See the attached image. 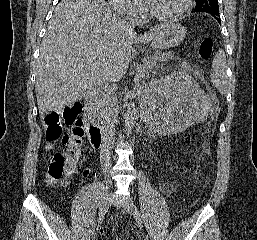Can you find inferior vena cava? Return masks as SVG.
<instances>
[{
  "mask_svg": "<svg viewBox=\"0 0 257 240\" xmlns=\"http://www.w3.org/2000/svg\"><path fill=\"white\" fill-rule=\"evenodd\" d=\"M134 23L123 20V29L126 31H133L134 30ZM106 96L108 98L107 100V107L105 111V122L103 130L106 134V136L109 138V144L114 143V124L116 120V106H117V97H116V88L115 87H107L106 89ZM110 158L107 156L105 159V165L106 167H109L110 165Z\"/></svg>",
  "mask_w": 257,
  "mask_h": 240,
  "instance_id": "1",
  "label": "inferior vena cava"
}]
</instances>
